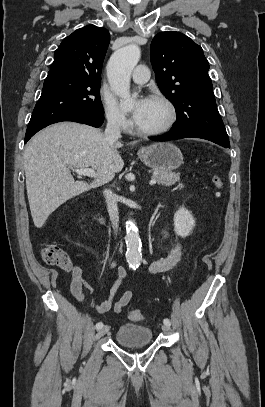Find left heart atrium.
<instances>
[{"label":"left heart atrium","mask_w":265,"mask_h":407,"mask_svg":"<svg viewBox=\"0 0 265 407\" xmlns=\"http://www.w3.org/2000/svg\"><path fill=\"white\" fill-rule=\"evenodd\" d=\"M148 100L149 99H141L137 103V105H136V107H135V109L133 111V118H134L135 121H137L141 117V115L143 114V112H144V110H145V108L147 106Z\"/></svg>","instance_id":"39dd6f15"}]
</instances>
